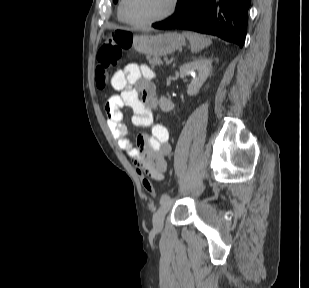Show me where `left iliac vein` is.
Masks as SVG:
<instances>
[{
  "label": "left iliac vein",
  "mask_w": 309,
  "mask_h": 288,
  "mask_svg": "<svg viewBox=\"0 0 309 288\" xmlns=\"http://www.w3.org/2000/svg\"><path fill=\"white\" fill-rule=\"evenodd\" d=\"M202 183H198L191 191L192 195H198L202 191ZM172 206V200H165L161 202L160 207L158 208L157 212L154 214L153 217V225L154 228L160 231L163 228L164 218L166 213L170 210Z\"/></svg>",
  "instance_id": "obj_1"
}]
</instances>
